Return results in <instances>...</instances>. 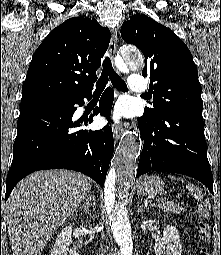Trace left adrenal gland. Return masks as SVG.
<instances>
[{"instance_id":"obj_1","label":"left adrenal gland","mask_w":221,"mask_h":255,"mask_svg":"<svg viewBox=\"0 0 221 255\" xmlns=\"http://www.w3.org/2000/svg\"><path fill=\"white\" fill-rule=\"evenodd\" d=\"M144 211V207L142 205H140V203L137 204V212L138 213H143Z\"/></svg>"}]
</instances>
